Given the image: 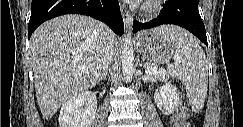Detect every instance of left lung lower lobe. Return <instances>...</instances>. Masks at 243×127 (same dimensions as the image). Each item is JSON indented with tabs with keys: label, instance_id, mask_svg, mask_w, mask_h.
<instances>
[{
	"label": "left lung lower lobe",
	"instance_id": "left-lung-lower-lobe-1",
	"mask_svg": "<svg viewBox=\"0 0 243 127\" xmlns=\"http://www.w3.org/2000/svg\"><path fill=\"white\" fill-rule=\"evenodd\" d=\"M162 24L181 26L207 45L205 26L198 10V0H168L165 2L159 16L149 22H133V33L142 29H150Z\"/></svg>",
	"mask_w": 243,
	"mask_h": 127
}]
</instances>
